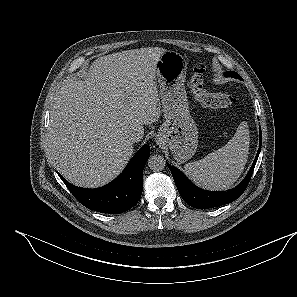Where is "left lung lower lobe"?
<instances>
[{"label": "left lung lower lobe", "mask_w": 297, "mask_h": 297, "mask_svg": "<svg viewBox=\"0 0 297 297\" xmlns=\"http://www.w3.org/2000/svg\"><path fill=\"white\" fill-rule=\"evenodd\" d=\"M261 127H260V142L257 155L254 162L247 173L244 180L235 188L228 191L221 192H211L198 188L178 169L167 163L173 179L175 181L176 187L183 198V200L190 206L197 209H208L213 207H218L221 205L233 202L238 197H240L245 191L255 168L260 150H261Z\"/></svg>", "instance_id": "left-lung-lower-lobe-1"}]
</instances>
